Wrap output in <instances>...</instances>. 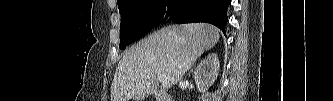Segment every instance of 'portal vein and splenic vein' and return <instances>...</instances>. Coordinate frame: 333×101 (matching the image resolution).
<instances>
[{"label":"portal vein and splenic vein","instance_id":"18ae733b","mask_svg":"<svg viewBox=\"0 0 333 101\" xmlns=\"http://www.w3.org/2000/svg\"><path fill=\"white\" fill-rule=\"evenodd\" d=\"M158 80L161 82L162 85H169L170 83V78L167 77L166 75H159Z\"/></svg>","mask_w":333,"mask_h":101}]
</instances>
